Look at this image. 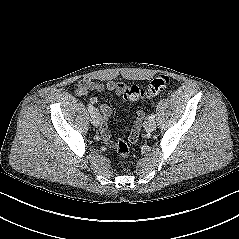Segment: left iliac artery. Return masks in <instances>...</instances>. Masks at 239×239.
<instances>
[{"label":"left iliac artery","instance_id":"obj_1","mask_svg":"<svg viewBox=\"0 0 239 239\" xmlns=\"http://www.w3.org/2000/svg\"><path fill=\"white\" fill-rule=\"evenodd\" d=\"M154 118H155V115H154V114H151V115L149 116V119H150V120H154Z\"/></svg>","mask_w":239,"mask_h":239}]
</instances>
